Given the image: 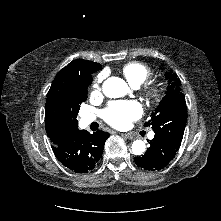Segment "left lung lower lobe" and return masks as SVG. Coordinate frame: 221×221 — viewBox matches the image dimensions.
Returning a JSON list of instances; mask_svg holds the SVG:
<instances>
[{
	"mask_svg": "<svg viewBox=\"0 0 221 221\" xmlns=\"http://www.w3.org/2000/svg\"><path fill=\"white\" fill-rule=\"evenodd\" d=\"M149 143L150 147L145 154L135 157L134 161L139 167L153 171L166 167L181 145L180 140L160 134H155Z\"/></svg>",
	"mask_w": 221,
	"mask_h": 221,
	"instance_id": "0a47b994",
	"label": "left lung lower lobe"
}]
</instances>
